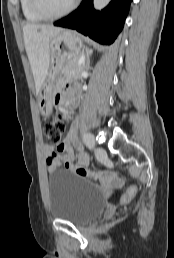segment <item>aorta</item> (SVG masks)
Returning <instances> with one entry per match:
<instances>
[{"mask_svg": "<svg viewBox=\"0 0 174 258\" xmlns=\"http://www.w3.org/2000/svg\"><path fill=\"white\" fill-rule=\"evenodd\" d=\"M111 0H94L93 6L96 10H102L105 8Z\"/></svg>", "mask_w": 174, "mask_h": 258, "instance_id": "762f6f07", "label": "aorta"}]
</instances>
